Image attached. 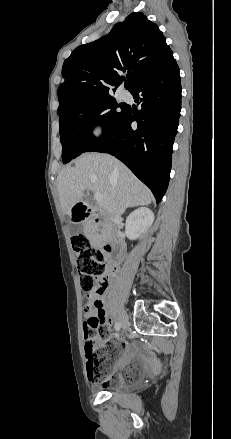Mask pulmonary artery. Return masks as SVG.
I'll return each instance as SVG.
<instances>
[{
  "label": "pulmonary artery",
  "instance_id": "pulmonary-artery-1",
  "mask_svg": "<svg viewBox=\"0 0 231 439\" xmlns=\"http://www.w3.org/2000/svg\"><path fill=\"white\" fill-rule=\"evenodd\" d=\"M120 96H121V99H123L125 101H128L131 99V95L128 91H122Z\"/></svg>",
  "mask_w": 231,
  "mask_h": 439
}]
</instances>
